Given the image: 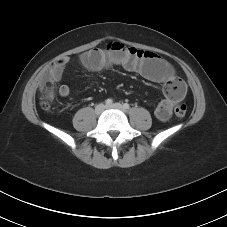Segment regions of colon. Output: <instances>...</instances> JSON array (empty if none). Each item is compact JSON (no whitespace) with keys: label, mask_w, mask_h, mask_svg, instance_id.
Wrapping results in <instances>:
<instances>
[{"label":"colon","mask_w":227,"mask_h":227,"mask_svg":"<svg viewBox=\"0 0 227 227\" xmlns=\"http://www.w3.org/2000/svg\"><path fill=\"white\" fill-rule=\"evenodd\" d=\"M40 91L43 95L41 106L43 109L49 110L51 107V102L53 100L54 91H53V81L49 79L47 76H45L40 83ZM174 113L177 118L182 119L185 117L187 113V108L185 105H178L175 108Z\"/></svg>","instance_id":"colon-1"}]
</instances>
